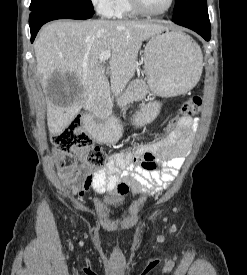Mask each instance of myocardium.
Wrapping results in <instances>:
<instances>
[{
	"label": "myocardium",
	"instance_id": "f54148a6",
	"mask_svg": "<svg viewBox=\"0 0 247 275\" xmlns=\"http://www.w3.org/2000/svg\"><path fill=\"white\" fill-rule=\"evenodd\" d=\"M130 2H131L132 7L140 14H143L146 16H160V15L166 14L167 12H169L172 9V7L175 3V0H170L169 5L161 11H152V10L148 9L145 6L143 0H130Z\"/></svg>",
	"mask_w": 247,
	"mask_h": 275
}]
</instances>
